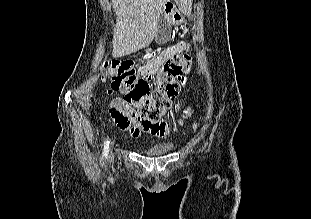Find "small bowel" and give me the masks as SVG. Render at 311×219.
Here are the masks:
<instances>
[{
	"label": "small bowel",
	"instance_id": "1",
	"mask_svg": "<svg viewBox=\"0 0 311 219\" xmlns=\"http://www.w3.org/2000/svg\"><path fill=\"white\" fill-rule=\"evenodd\" d=\"M186 51V43L178 42L165 49L152 62L141 66L139 72L144 76H150L154 74L168 58L176 54L185 53ZM200 106L201 103H197L187 107L181 115L178 124L174 126H171L168 121L150 122L143 118L135 107L123 102L116 103L115 100L110 104L109 113L119 129L130 132L134 137H138L142 132H146L158 138H165L176 131L177 127L182 125L187 119L192 118Z\"/></svg>",
	"mask_w": 311,
	"mask_h": 219
}]
</instances>
